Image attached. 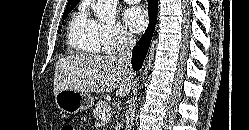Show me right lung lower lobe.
Instances as JSON below:
<instances>
[{"mask_svg":"<svg viewBox=\"0 0 249 130\" xmlns=\"http://www.w3.org/2000/svg\"><path fill=\"white\" fill-rule=\"evenodd\" d=\"M157 0H148V13L150 16L149 25L143 36L136 43L132 50V67L135 71H138L143 64L147 51L149 49L153 31L155 29V23L157 19Z\"/></svg>","mask_w":249,"mask_h":130,"instance_id":"1","label":"right lung lower lobe"}]
</instances>
